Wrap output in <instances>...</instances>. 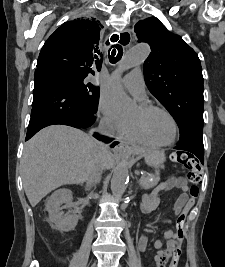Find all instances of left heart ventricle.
<instances>
[{
  "mask_svg": "<svg viewBox=\"0 0 225 267\" xmlns=\"http://www.w3.org/2000/svg\"><path fill=\"white\" fill-rule=\"evenodd\" d=\"M132 120H142L151 139L157 143L170 142L175 133L171 119L164 113L154 111L143 115L140 107L137 108Z\"/></svg>",
  "mask_w": 225,
  "mask_h": 267,
  "instance_id": "b2bd125f",
  "label": "left heart ventricle"
}]
</instances>
